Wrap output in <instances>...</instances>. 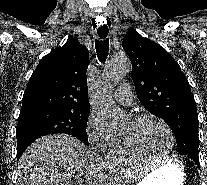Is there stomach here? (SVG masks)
Masks as SVG:
<instances>
[{"instance_id": "obj_1", "label": "stomach", "mask_w": 207, "mask_h": 185, "mask_svg": "<svg viewBox=\"0 0 207 185\" xmlns=\"http://www.w3.org/2000/svg\"><path fill=\"white\" fill-rule=\"evenodd\" d=\"M184 165L171 159L150 172L138 185H184L186 176Z\"/></svg>"}]
</instances>
